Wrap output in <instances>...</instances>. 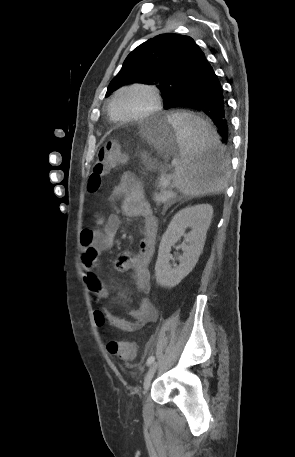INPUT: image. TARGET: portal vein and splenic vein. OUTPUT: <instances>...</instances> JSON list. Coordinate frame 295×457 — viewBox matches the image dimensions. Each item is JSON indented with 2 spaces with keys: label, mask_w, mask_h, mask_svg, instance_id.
Wrapping results in <instances>:
<instances>
[{
  "label": "portal vein and splenic vein",
  "mask_w": 295,
  "mask_h": 457,
  "mask_svg": "<svg viewBox=\"0 0 295 457\" xmlns=\"http://www.w3.org/2000/svg\"><path fill=\"white\" fill-rule=\"evenodd\" d=\"M169 178H170V175L169 174H165V175H162L161 176V179H160V182L163 186L167 185L168 181H169Z\"/></svg>",
  "instance_id": "obj_1"
}]
</instances>
